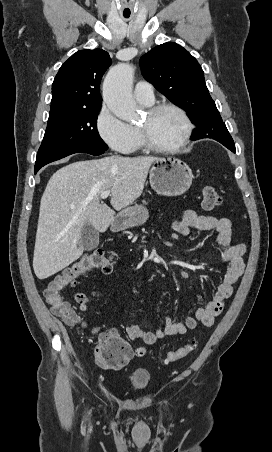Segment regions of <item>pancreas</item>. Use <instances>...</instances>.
Instances as JSON below:
<instances>
[{
	"label": "pancreas",
	"instance_id": "1",
	"mask_svg": "<svg viewBox=\"0 0 272 452\" xmlns=\"http://www.w3.org/2000/svg\"><path fill=\"white\" fill-rule=\"evenodd\" d=\"M143 204H144V205H147L148 203L144 200V201H143Z\"/></svg>",
	"mask_w": 272,
	"mask_h": 452
}]
</instances>
